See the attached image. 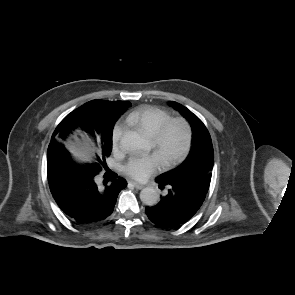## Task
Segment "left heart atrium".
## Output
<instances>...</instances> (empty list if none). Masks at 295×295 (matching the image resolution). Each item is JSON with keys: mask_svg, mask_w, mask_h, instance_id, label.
Masks as SVG:
<instances>
[{"mask_svg": "<svg viewBox=\"0 0 295 295\" xmlns=\"http://www.w3.org/2000/svg\"><path fill=\"white\" fill-rule=\"evenodd\" d=\"M164 165L157 153L132 156L124 166V171L131 178L145 181L157 173Z\"/></svg>", "mask_w": 295, "mask_h": 295, "instance_id": "39dd6f15", "label": "left heart atrium"}]
</instances>
